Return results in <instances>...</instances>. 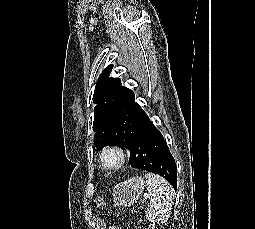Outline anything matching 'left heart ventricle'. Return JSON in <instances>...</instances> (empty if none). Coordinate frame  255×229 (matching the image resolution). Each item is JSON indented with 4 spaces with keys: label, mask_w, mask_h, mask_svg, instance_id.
Wrapping results in <instances>:
<instances>
[{
    "label": "left heart ventricle",
    "mask_w": 255,
    "mask_h": 229,
    "mask_svg": "<svg viewBox=\"0 0 255 229\" xmlns=\"http://www.w3.org/2000/svg\"><path fill=\"white\" fill-rule=\"evenodd\" d=\"M115 160H116V157H115L114 155H108V156L106 157V161H107L108 163H113V162H115Z\"/></svg>",
    "instance_id": "obj_1"
}]
</instances>
